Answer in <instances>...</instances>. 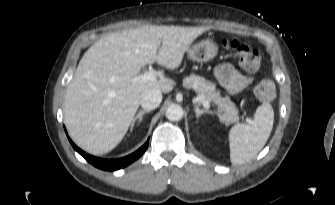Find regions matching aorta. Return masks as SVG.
Listing matches in <instances>:
<instances>
[{"label": "aorta", "instance_id": "1", "mask_svg": "<svg viewBox=\"0 0 335 205\" xmlns=\"http://www.w3.org/2000/svg\"><path fill=\"white\" fill-rule=\"evenodd\" d=\"M166 117L170 121H179L183 117V109L180 105L172 104L166 109Z\"/></svg>", "mask_w": 335, "mask_h": 205}]
</instances>
